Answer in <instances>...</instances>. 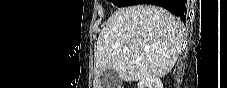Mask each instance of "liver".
<instances>
[{
    "label": "liver",
    "instance_id": "obj_1",
    "mask_svg": "<svg viewBox=\"0 0 227 88\" xmlns=\"http://www.w3.org/2000/svg\"><path fill=\"white\" fill-rule=\"evenodd\" d=\"M182 43L181 24L166 9L141 4L120 8L99 34L95 72L114 69L126 82L163 77L174 67Z\"/></svg>",
    "mask_w": 227,
    "mask_h": 88
}]
</instances>
